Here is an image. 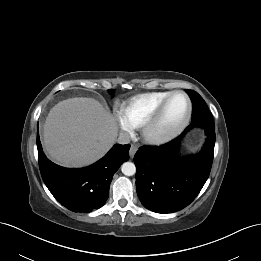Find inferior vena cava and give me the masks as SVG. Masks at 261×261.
Listing matches in <instances>:
<instances>
[{"instance_id": "obj_1", "label": "inferior vena cava", "mask_w": 261, "mask_h": 261, "mask_svg": "<svg viewBox=\"0 0 261 261\" xmlns=\"http://www.w3.org/2000/svg\"><path fill=\"white\" fill-rule=\"evenodd\" d=\"M119 144H128L130 143V135L127 132H121L117 138Z\"/></svg>"}]
</instances>
